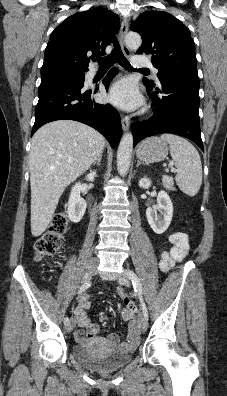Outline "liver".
Instances as JSON below:
<instances>
[{
	"instance_id": "liver-1",
	"label": "liver",
	"mask_w": 227,
	"mask_h": 396,
	"mask_svg": "<svg viewBox=\"0 0 227 396\" xmlns=\"http://www.w3.org/2000/svg\"><path fill=\"white\" fill-rule=\"evenodd\" d=\"M104 147L99 132L72 120L50 122L33 135L29 170L34 237L47 229L65 188L90 168Z\"/></svg>"
}]
</instances>
